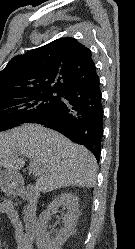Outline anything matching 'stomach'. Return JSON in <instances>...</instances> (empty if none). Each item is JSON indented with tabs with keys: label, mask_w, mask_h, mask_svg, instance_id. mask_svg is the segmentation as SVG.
I'll return each mask as SVG.
<instances>
[{
	"label": "stomach",
	"mask_w": 135,
	"mask_h": 249,
	"mask_svg": "<svg viewBox=\"0 0 135 249\" xmlns=\"http://www.w3.org/2000/svg\"><path fill=\"white\" fill-rule=\"evenodd\" d=\"M17 184L16 175L12 171L2 170V168H0V187L9 191Z\"/></svg>",
	"instance_id": "stomach-1"
}]
</instances>
